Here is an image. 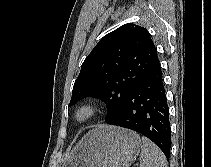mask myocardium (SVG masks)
<instances>
[{"instance_id":"1","label":"myocardium","mask_w":211,"mask_h":167,"mask_svg":"<svg viewBox=\"0 0 211 167\" xmlns=\"http://www.w3.org/2000/svg\"><path fill=\"white\" fill-rule=\"evenodd\" d=\"M98 106L93 102H84L80 104L75 112L74 119L78 123H85L92 119L98 113Z\"/></svg>"}]
</instances>
